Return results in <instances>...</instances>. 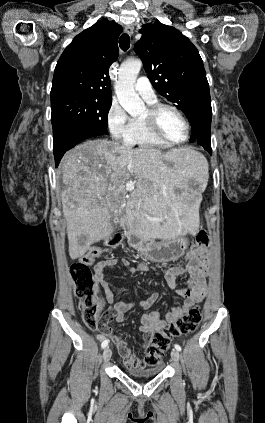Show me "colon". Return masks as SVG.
Here are the masks:
<instances>
[{
    "mask_svg": "<svg viewBox=\"0 0 265 423\" xmlns=\"http://www.w3.org/2000/svg\"><path fill=\"white\" fill-rule=\"evenodd\" d=\"M123 241L122 233L118 232L101 246L93 247L78 261L70 266V275L75 283V294L83 304V321L90 329L110 333L109 322L112 313L105 310L103 300L96 289V280L90 269L93 262L108 248L118 246ZM208 235L200 232L188 256L194 257L206 249ZM202 312L199 307L191 308L175 322L152 336V342L145 349V357L136 367H155L160 363L162 355L169 349L173 339L192 333L200 324Z\"/></svg>",
    "mask_w": 265,
    "mask_h": 423,
    "instance_id": "1",
    "label": "colon"
}]
</instances>
